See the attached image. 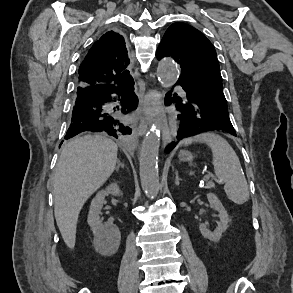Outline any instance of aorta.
Segmentation results:
<instances>
[{
    "label": "aorta",
    "instance_id": "762f6f07",
    "mask_svg": "<svg viewBox=\"0 0 293 293\" xmlns=\"http://www.w3.org/2000/svg\"><path fill=\"white\" fill-rule=\"evenodd\" d=\"M157 76L164 88L172 87L178 80L179 71L171 58L159 62ZM160 147V126L154 124L144 138L140 156L139 170L142 189L147 197L157 196L160 190L158 174V154Z\"/></svg>",
    "mask_w": 293,
    "mask_h": 293
}]
</instances>
